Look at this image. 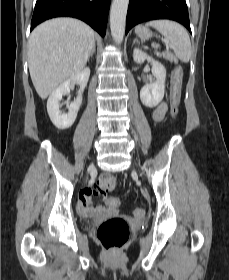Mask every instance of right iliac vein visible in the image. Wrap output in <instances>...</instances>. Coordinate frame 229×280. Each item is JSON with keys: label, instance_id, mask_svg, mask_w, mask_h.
I'll return each instance as SVG.
<instances>
[{"label": "right iliac vein", "instance_id": "63e3f726", "mask_svg": "<svg viewBox=\"0 0 229 280\" xmlns=\"http://www.w3.org/2000/svg\"><path fill=\"white\" fill-rule=\"evenodd\" d=\"M95 170V166L94 165H90L88 171L91 173Z\"/></svg>", "mask_w": 229, "mask_h": 280}]
</instances>
